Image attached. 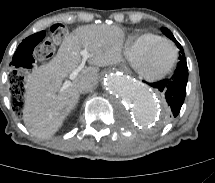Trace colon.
I'll return each mask as SVG.
<instances>
[{
  "label": "colon",
  "mask_w": 215,
  "mask_h": 183,
  "mask_svg": "<svg viewBox=\"0 0 215 183\" xmlns=\"http://www.w3.org/2000/svg\"><path fill=\"white\" fill-rule=\"evenodd\" d=\"M67 33L64 24L55 23L38 34L23 39L22 43L17 45L16 57L9 63L12 72L9 78L12 95L11 112L16 120L21 121L25 117L22 111L25 79L21 73L31 68L35 62L49 61L55 53L54 43L65 39Z\"/></svg>",
  "instance_id": "obj_1"
}]
</instances>
